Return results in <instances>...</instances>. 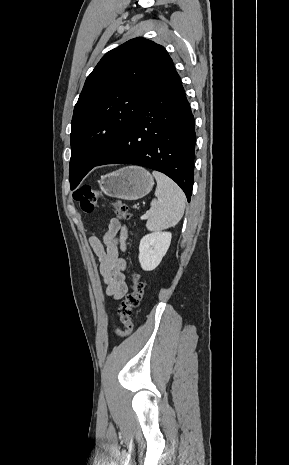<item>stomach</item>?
I'll list each match as a JSON object with an SVG mask.
<instances>
[{
    "label": "stomach",
    "instance_id": "stomach-1",
    "mask_svg": "<svg viewBox=\"0 0 289 465\" xmlns=\"http://www.w3.org/2000/svg\"><path fill=\"white\" fill-rule=\"evenodd\" d=\"M99 185L110 197L137 200L151 191L154 180L146 169L127 166L102 176Z\"/></svg>",
    "mask_w": 289,
    "mask_h": 465
}]
</instances>
